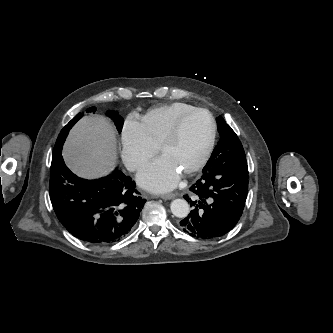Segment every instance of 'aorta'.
<instances>
[{"instance_id": "762f6f07", "label": "aorta", "mask_w": 333, "mask_h": 333, "mask_svg": "<svg viewBox=\"0 0 333 333\" xmlns=\"http://www.w3.org/2000/svg\"><path fill=\"white\" fill-rule=\"evenodd\" d=\"M171 212L178 218H185L189 214V205L184 199H175L171 203Z\"/></svg>"}]
</instances>
